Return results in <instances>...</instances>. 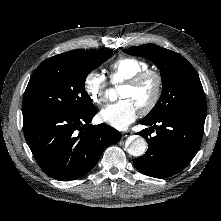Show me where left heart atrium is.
<instances>
[{"mask_svg":"<svg viewBox=\"0 0 221 221\" xmlns=\"http://www.w3.org/2000/svg\"><path fill=\"white\" fill-rule=\"evenodd\" d=\"M138 107L130 99H121L103 107L99 112L102 122L119 130L125 129L137 117Z\"/></svg>","mask_w":221,"mask_h":221,"instance_id":"obj_1","label":"left heart atrium"}]
</instances>
